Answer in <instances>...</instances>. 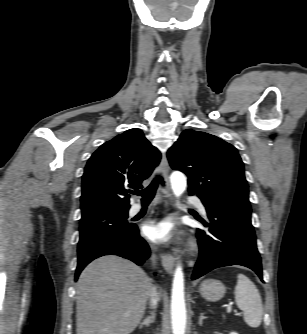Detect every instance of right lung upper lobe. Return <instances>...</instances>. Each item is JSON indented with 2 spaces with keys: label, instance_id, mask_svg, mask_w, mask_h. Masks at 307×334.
<instances>
[{
  "label": "right lung upper lobe",
  "instance_id": "obj_1",
  "mask_svg": "<svg viewBox=\"0 0 307 334\" xmlns=\"http://www.w3.org/2000/svg\"><path fill=\"white\" fill-rule=\"evenodd\" d=\"M160 152L140 129L107 141L87 162L82 178V216L102 211L128 212L127 188H142L160 162Z\"/></svg>",
  "mask_w": 307,
  "mask_h": 334
}]
</instances>
